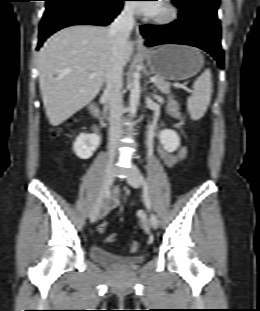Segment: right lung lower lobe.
<instances>
[{"instance_id":"98d812e1","label":"right lung lower lobe","mask_w":260,"mask_h":311,"mask_svg":"<svg viewBox=\"0 0 260 311\" xmlns=\"http://www.w3.org/2000/svg\"><path fill=\"white\" fill-rule=\"evenodd\" d=\"M38 48L54 32L71 25H108L121 11L124 0H45Z\"/></svg>"}]
</instances>
